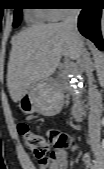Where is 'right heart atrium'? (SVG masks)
Wrapping results in <instances>:
<instances>
[{"label": "right heart atrium", "mask_w": 104, "mask_h": 169, "mask_svg": "<svg viewBox=\"0 0 104 169\" xmlns=\"http://www.w3.org/2000/svg\"><path fill=\"white\" fill-rule=\"evenodd\" d=\"M50 10H52L53 13L52 15L53 20H64L74 12V9H66V8H56Z\"/></svg>", "instance_id": "right-heart-atrium-1"}]
</instances>
